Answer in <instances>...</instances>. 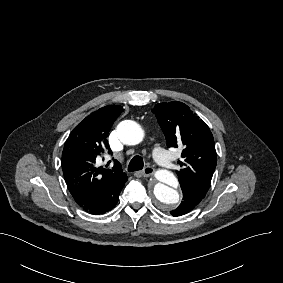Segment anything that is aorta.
<instances>
[{"instance_id":"762f6f07","label":"aorta","mask_w":283,"mask_h":283,"mask_svg":"<svg viewBox=\"0 0 283 283\" xmlns=\"http://www.w3.org/2000/svg\"><path fill=\"white\" fill-rule=\"evenodd\" d=\"M117 136L125 145H137L144 137L141 126L132 120H124L117 126ZM158 182L155 184L153 194L162 209L175 207L179 202V193L175 189L177 178L168 170H159L155 174Z\"/></svg>"}]
</instances>
